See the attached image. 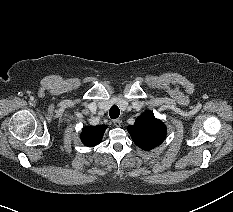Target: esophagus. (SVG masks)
Returning a JSON list of instances; mask_svg holds the SVG:
<instances>
[{
	"instance_id": "1",
	"label": "esophagus",
	"mask_w": 233,
	"mask_h": 212,
	"mask_svg": "<svg viewBox=\"0 0 233 212\" xmlns=\"http://www.w3.org/2000/svg\"><path fill=\"white\" fill-rule=\"evenodd\" d=\"M121 123H122V120H121V119H114V120H113V124H114L116 127H120V126H121Z\"/></svg>"
}]
</instances>
